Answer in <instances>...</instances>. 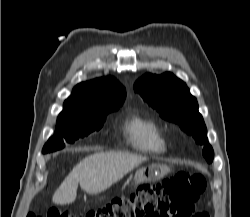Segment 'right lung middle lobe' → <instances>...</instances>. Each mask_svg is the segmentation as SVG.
Wrapping results in <instances>:
<instances>
[{
    "instance_id": "right-lung-middle-lobe-1",
    "label": "right lung middle lobe",
    "mask_w": 250,
    "mask_h": 217,
    "mask_svg": "<svg viewBox=\"0 0 250 217\" xmlns=\"http://www.w3.org/2000/svg\"><path fill=\"white\" fill-rule=\"evenodd\" d=\"M109 112L96 114L83 120L57 121L54 136L47 141L42 153H49L64 148V140L73 143L80 137L87 136L93 131H98L103 126L106 115Z\"/></svg>"
}]
</instances>
